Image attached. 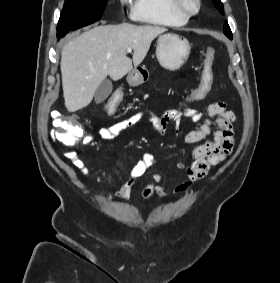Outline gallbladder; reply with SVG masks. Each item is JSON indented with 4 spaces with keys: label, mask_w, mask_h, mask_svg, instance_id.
<instances>
[{
    "label": "gallbladder",
    "mask_w": 280,
    "mask_h": 283,
    "mask_svg": "<svg viewBox=\"0 0 280 283\" xmlns=\"http://www.w3.org/2000/svg\"><path fill=\"white\" fill-rule=\"evenodd\" d=\"M112 82L109 79H105L97 88L94 101L96 104L102 103L112 92Z\"/></svg>",
    "instance_id": "1"
}]
</instances>
